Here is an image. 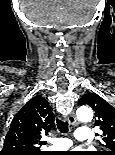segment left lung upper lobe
Returning a JSON list of instances; mask_svg holds the SVG:
<instances>
[{
	"label": "left lung upper lobe",
	"instance_id": "1",
	"mask_svg": "<svg viewBox=\"0 0 115 155\" xmlns=\"http://www.w3.org/2000/svg\"><path fill=\"white\" fill-rule=\"evenodd\" d=\"M79 105H89L95 111V126L103 132L102 146L106 151H98L93 155H115V108L95 93L88 92L80 100Z\"/></svg>",
	"mask_w": 115,
	"mask_h": 155
}]
</instances>
